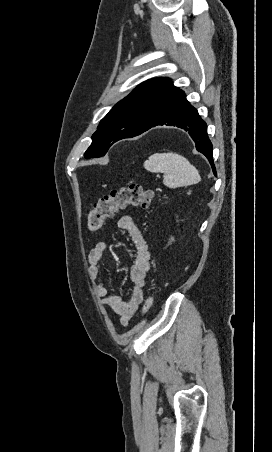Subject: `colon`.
Instances as JSON below:
<instances>
[{
    "label": "colon",
    "instance_id": "1",
    "mask_svg": "<svg viewBox=\"0 0 272 452\" xmlns=\"http://www.w3.org/2000/svg\"><path fill=\"white\" fill-rule=\"evenodd\" d=\"M154 198V192L145 189L142 185L131 183L119 189L112 190L109 194L100 198L89 209L87 225L91 231L99 230L104 221L113 217L118 211L128 206L147 209ZM156 298V292H151L143 305V312L149 311Z\"/></svg>",
    "mask_w": 272,
    "mask_h": 452
}]
</instances>
